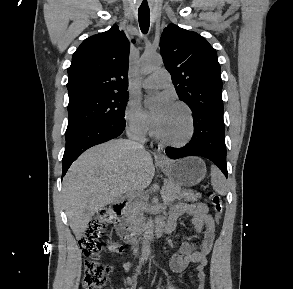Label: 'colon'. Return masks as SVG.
<instances>
[{"label": "colon", "instance_id": "5ec220e1", "mask_svg": "<svg viewBox=\"0 0 293 289\" xmlns=\"http://www.w3.org/2000/svg\"><path fill=\"white\" fill-rule=\"evenodd\" d=\"M209 199L215 212L217 221L221 219L223 212L222 199L219 195L211 193ZM112 213L104 209L89 222L85 234L80 238L79 245L83 252L84 261V289H99L107 280L111 266L99 261V256L104 244L100 237L103 235L106 225L111 221ZM112 252H121V246L112 244L108 246Z\"/></svg>", "mask_w": 293, "mask_h": 289}]
</instances>
